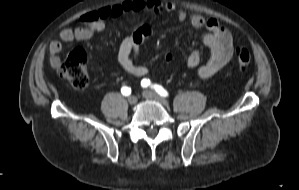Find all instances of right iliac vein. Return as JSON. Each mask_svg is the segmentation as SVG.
<instances>
[{
  "mask_svg": "<svg viewBox=\"0 0 299 190\" xmlns=\"http://www.w3.org/2000/svg\"><path fill=\"white\" fill-rule=\"evenodd\" d=\"M128 102L130 105H135L137 103V97L134 95H131L128 97Z\"/></svg>",
  "mask_w": 299,
  "mask_h": 190,
  "instance_id": "obj_1",
  "label": "right iliac vein"
}]
</instances>
